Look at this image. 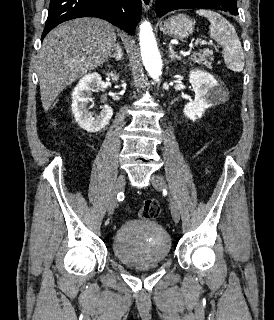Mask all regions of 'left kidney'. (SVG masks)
Returning <instances> with one entry per match:
<instances>
[{"label":"left kidney","instance_id":"obj_1","mask_svg":"<svg viewBox=\"0 0 274 320\" xmlns=\"http://www.w3.org/2000/svg\"><path fill=\"white\" fill-rule=\"evenodd\" d=\"M189 82L195 92L192 102H187L184 106V116L189 120H199L202 118L207 108L218 106L224 102V90L215 80L214 76L201 70H192L189 74Z\"/></svg>","mask_w":274,"mask_h":320}]
</instances>
